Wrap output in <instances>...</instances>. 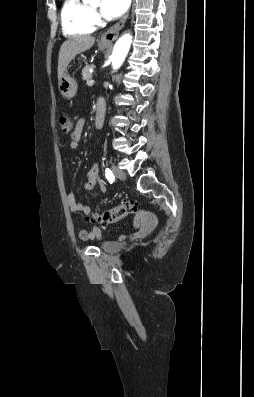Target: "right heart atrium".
Here are the masks:
<instances>
[{"label": "right heart atrium", "mask_w": 254, "mask_h": 397, "mask_svg": "<svg viewBox=\"0 0 254 397\" xmlns=\"http://www.w3.org/2000/svg\"><path fill=\"white\" fill-rule=\"evenodd\" d=\"M92 18L94 21H98L99 20V16L95 11H92Z\"/></svg>", "instance_id": "obj_1"}]
</instances>
